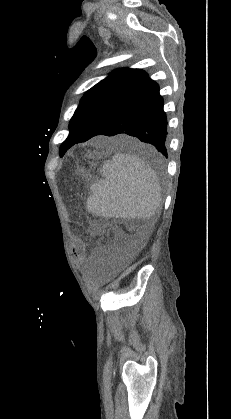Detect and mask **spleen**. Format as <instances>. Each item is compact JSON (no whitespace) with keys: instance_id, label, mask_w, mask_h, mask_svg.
Segmentation results:
<instances>
[{"instance_id":"obj_1","label":"spleen","mask_w":231,"mask_h":419,"mask_svg":"<svg viewBox=\"0 0 231 419\" xmlns=\"http://www.w3.org/2000/svg\"><path fill=\"white\" fill-rule=\"evenodd\" d=\"M102 176L87 200L91 213L124 219H149L156 214L162 200L160 182L142 159L117 153L104 162Z\"/></svg>"}]
</instances>
